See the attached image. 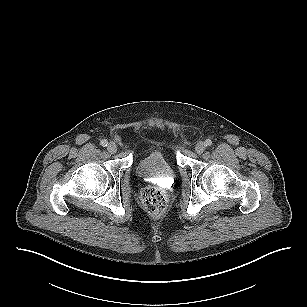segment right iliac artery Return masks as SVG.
Here are the masks:
<instances>
[{
    "instance_id": "1",
    "label": "right iliac artery",
    "mask_w": 307,
    "mask_h": 307,
    "mask_svg": "<svg viewBox=\"0 0 307 307\" xmlns=\"http://www.w3.org/2000/svg\"><path fill=\"white\" fill-rule=\"evenodd\" d=\"M100 144L102 145V146H107V144H108V141L106 140V139H103L101 142H100Z\"/></svg>"
}]
</instances>
